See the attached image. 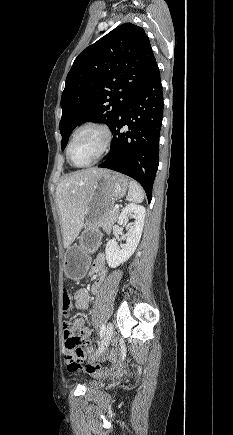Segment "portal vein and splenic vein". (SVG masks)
I'll return each instance as SVG.
<instances>
[{"label":"portal vein and splenic vein","instance_id":"18ae733b","mask_svg":"<svg viewBox=\"0 0 233 435\" xmlns=\"http://www.w3.org/2000/svg\"><path fill=\"white\" fill-rule=\"evenodd\" d=\"M115 208H116V209H118V208H119V206H118V205H116V206H115Z\"/></svg>","mask_w":233,"mask_h":435}]
</instances>
